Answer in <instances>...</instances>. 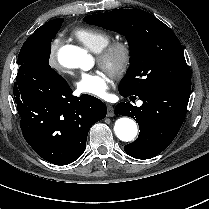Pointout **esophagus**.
I'll return each mask as SVG.
<instances>
[{
	"label": "esophagus",
	"instance_id": "esophagus-1",
	"mask_svg": "<svg viewBox=\"0 0 209 209\" xmlns=\"http://www.w3.org/2000/svg\"><path fill=\"white\" fill-rule=\"evenodd\" d=\"M115 115L114 108L111 104H107V116L113 117Z\"/></svg>",
	"mask_w": 209,
	"mask_h": 209
}]
</instances>
